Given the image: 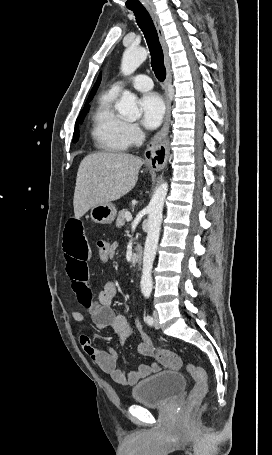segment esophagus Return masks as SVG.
<instances>
[{
  "label": "esophagus",
  "mask_w": 272,
  "mask_h": 455,
  "mask_svg": "<svg viewBox=\"0 0 272 455\" xmlns=\"http://www.w3.org/2000/svg\"><path fill=\"white\" fill-rule=\"evenodd\" d=\"M145 8L149 12L154 25L156 27L160 43L163 48L164 52V62L166 66V80H165V97H166V115L164 119V124L159 132H157L154 137L151 139L150 144L147 148V157L151 167L155 170L163 169L168 161L169 156V140H168V133L170 127V119H171V99L168 91V86L171 82V67H170V59L168 55V47L165 41V37L163 34V30L160 26L158 16L151 4H146ZM150 153V154H149ZM149 154V155H148Z\"/></svg>",
  "instance_id": "esophagus-1"
}]
</instances>
